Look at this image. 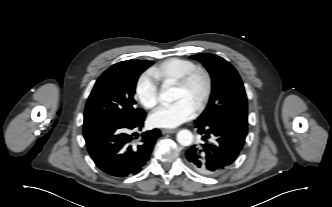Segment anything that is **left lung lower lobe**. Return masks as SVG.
<instances>
[{
  "label": "left lung lower lobe",
  "mask_w": 332,
  "mask_h": 207,
  "mask_svg": "<svg viewBox=\"0 0 332 207\" xmlns=\"http://www.w3.org/2000/svg\"><path fill=\"white\" fill-rule=\"evenodd\" d=\"M203 142L186 151L189 166L213 176L223 173L238 157L247 135V117L231 116L209 123L196 122Z\"/></svg>",
  "instance_id": "left-lung-lower-lobe-1"
}]
</instances>
